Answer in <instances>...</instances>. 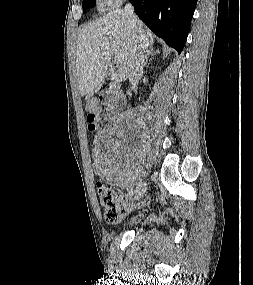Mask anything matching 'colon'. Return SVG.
Wrapping results in <instances>:
<instances>
[{"label":"colon","mask_w":253,"mask_h":285,"mask_svg":"<svg viewBox=\"0 0 253 285\" xmlns=\"http://www.w3.org/2000/svg\"><path fill=\"white\" fill-rule=\"evenodd\" d=\"M87 111L88 128L94 130L101 119L98 103L90 101L87 104ZM96 190L106 219L109 222H117L130 206V198L106 187L102 183H97Z\"/></svg>","instance_id":"5ec220e1"}]
</instances>
